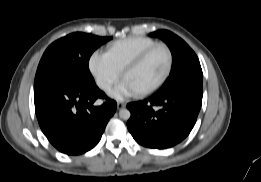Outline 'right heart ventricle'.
<instances>
[{"label": "right heart ventricle", "instance_id": "right-heart-ventricle-1", "mask_svg": "<svg viewBox=\"0 0 261 182\" xmlns=\"http://www.w3.org/2000/svg\"><path fill=\"white\" fill-rule=\"evenodd\" d=\"M157 44L146 37H128L110 43L105 50L113 65L122 72L124 68L147 48Z\"/></svg>", "mask_w": 261, "mask_h": 182}]
</instances>
